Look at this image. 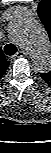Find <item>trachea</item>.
I'll list each match as a JSON object with an SVG mask.
<instances>
[{
  "label": "trachea",
  "mask_w": 51,
  "mask_h": 153,
  "mask_svg": "<svg viewBox=\"0 0 51 153\" xmlns=\"http://www.w3.org/2000/svg\"><path fill=\"white\" fill-rule=\"evenodd\" d=\"M4 52L8 56H12V55L16 54L17 47L12 43L6 44L5 47H4Z\"/></svg>",
  "instance_id": "3493384b"
}]
</instances>
